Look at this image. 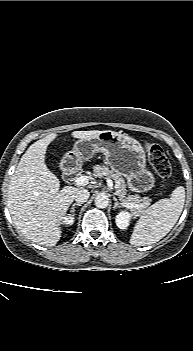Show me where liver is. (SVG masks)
Listing matches in <instances>:
<instances>
[{"label": "liver", "instance_id": "1", "mask_svg": "<svg viewBox=\"0 0 193 351\" xmlns=\"http://www.w3.org/2000/svg\"><path fill=\"white\" fill-rule=\"evenodd\" d=\"M101 131H74L72 137L89 140ZM57 134L34 142L22 155L8 187V208L21 233L34 243L54 246L60 240L61 221L83 187L66 186L47 168L45 154Z\"/></svg>", "mask_w": 193, "mask_h": 351}]
</instances>
